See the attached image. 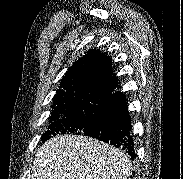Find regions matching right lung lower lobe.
Returning a JSON list of instances; mask_svg holds the SVG:
<instances>
[{
  "mask_svg": "<svg viewBox=\"0 0 183 179\" xmlns=\"http://www.w3.org/2000/svg\"><path fill=\"white\" fill-rule=\"evenodd\" d=\"M106 99V106L97 120L75 134L90 136L110 143L125 150L132 159H135V143L126 96L120 91H111Z\"/></svg>",
  "mask_w": 183,
  "mask_h": 179,
  "instance_id": "1",
  "label": "right lung lower lobe"
}]
</instances>
